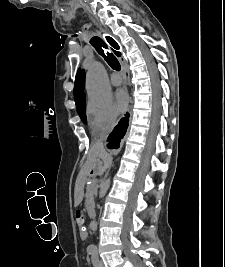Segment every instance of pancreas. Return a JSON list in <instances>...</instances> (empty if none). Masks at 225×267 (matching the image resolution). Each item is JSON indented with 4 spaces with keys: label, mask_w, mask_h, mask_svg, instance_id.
<instances>
[{
    "label": "pancreas",
    "mask_w": 225,
    "mask_h": 267,
    "mask_svg": "<svg viewBox=\"0 0 225 267\" xmlns=\"http://www.w3.org/2000/svg\"><path fill=\"white\" fill-rule=\"evenodd\" d=\"M85 207L88 211V214L91 216L93 214L94 210V202H93V186H89L86 189V195H85Z\"/></svg>",
    "instance_id": "obj_1"
}]
</instances>
